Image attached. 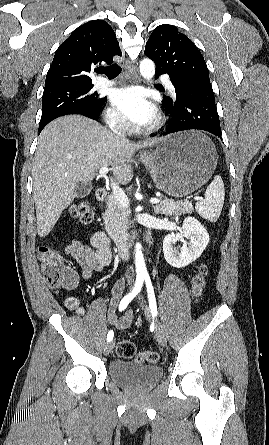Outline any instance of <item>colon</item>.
Segmentation results:
<instances>
[{"mask_svg": "<svg viewBox=\"0 0 269 445\" xmlns=\"http://www.w3.org/2000/svg\"><path fill=\"white\" fill-rule=\"evenodd\" d=\"M69 216L82 224L90 223L92 220L90 202L81 200L74 203L69 209ZM37 253L44 280L49 287L73 289L76 286V281L67 273L63 260L52 248L40 246ZM207 274V267L200 265L191 278L190 291L195 302L200 301L204 295ZM116 354L124 359H133L137 363H156L159 360L156 351L147 350L136 354L134 343L125 339L117 343Z\"/></svg>", "mask_w": 269, "mask_h": 445, "instance_id": "colon-1", "label": "colon"}]
</instances>
